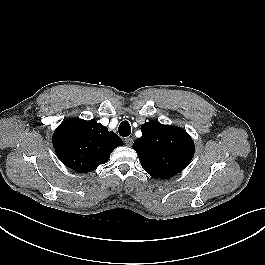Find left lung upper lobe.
<instances>
[{"instance_id":"left-lung-upper-lobe-1","label":"left lung upper lobe","mask_w":265,"mask_h":265,"mask_svg":"<svg viewBox=\"0 0 265 265\" xmlns=\"http://www.w3.org/2000/svg\"><path fill=\"white\" fill-rule=\"evenodd\" d=\"M142 137L133 144L141 166L155 178L181 172L195 152L191 137L182 128L151 120L141 126Z\"/></svg>"}]
</instances>
